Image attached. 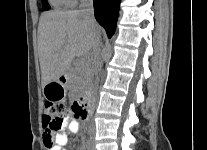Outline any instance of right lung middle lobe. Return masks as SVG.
I'll list each match as a JSON object with an SVG mask.
<instances>
[{
	"label": "right lung middle lobe",
	"mask_w": 207,
	"mask_h": 150,
	"mask_svg": "<svg viewBox=\"0 0 207 150\" xmlns=\"http://www.w3.org/2000/svg\"><path fill=\"white\" fill-rule=\"evenodd\" d=\"M42 4H43V8L45 10H49L50 9V5L48 4L47 0H42Z\"/></svg>",
	"instance_id": "right-lung-middle-lobe-1"
}]
</instances>
